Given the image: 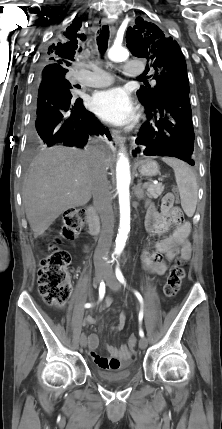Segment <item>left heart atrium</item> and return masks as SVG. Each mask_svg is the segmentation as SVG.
I'll return each instance as SVG.
<instances>
[{
  "mask_svg": "<svg viewBox=\"0 0 222 429\" xmlns=\"http://www.w3.org/2000/svg\"><path fill=\"white\" fill-rule=\"evenodd\" d=\"M92 108L103 120L123 124L133 116V107L128 93L122 88L98 92L92 100Z\"/></svg>",
  "mask_w": 222,
  "mask_h": 429,
  "instance_id": "obj_1",
  "label": "left heart atrium"
}]
</instances>
